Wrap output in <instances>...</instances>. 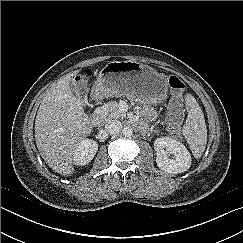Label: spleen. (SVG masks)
Here are the masks:
<instances>
[{
	"label": "spleen",
	"mask_w": 243,
	"mask_h": 243,
	"mask_svg": "<svg viewBox=\"0 0 243 243\" xmlns=\"http://www.w3.org/2000/svg\"><path fill=\"white\" fill-rule=\"evenodd\" d=\"M188 116L183 126V135L196 158L203 154L207 143V127L201 107L191 95H186Z\"/></svg>",
	"instance_id": "obj_1"
}]
</instances>
